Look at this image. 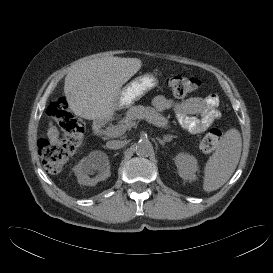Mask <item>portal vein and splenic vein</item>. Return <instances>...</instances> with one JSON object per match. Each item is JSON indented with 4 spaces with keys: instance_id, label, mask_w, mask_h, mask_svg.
Instances as JSON below:
<instances>
[{
    "instance_id": "obj_1",
    "label": "portal vein and splenic vein",
    "mask_w": 273,
    "mask_h": 273,
    "mask_svg": "<svg viewBox=\"0 0 273 273\" xmlns=\"http://www.w3.org/2000/svg\"><path fill=\"white\" fill-rule=\"evenodd\" d=\"M128 129L127 126H122V127H108L105 131L104 134L109 136V137H117L125 133V131Z\"/></svg>"
}]
</instances>
